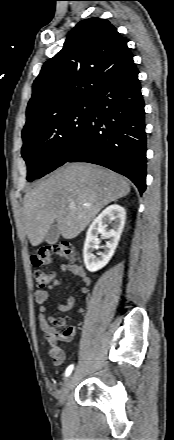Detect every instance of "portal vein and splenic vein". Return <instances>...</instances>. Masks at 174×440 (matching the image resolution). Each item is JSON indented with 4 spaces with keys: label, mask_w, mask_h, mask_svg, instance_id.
Here are the masks:
<instances>
[{
    "label": "portal vein and splenic vein",
    "mask_w": 174,
    "mask_h": 440,
    "mask_svg": "<svg viewBox=\"0 0 174 440\" xmlns=\"http://www.w3.org/2000/svg\"><path fill=\"white\" fill-rule=\"evenodd\" d=\"M75 206V204L72 202L70 203V207L73 208ZM85 206H90L89 204H85Z\"/></svg>",
    "instance_id": "obj_1"
}]
</instances>
